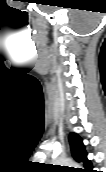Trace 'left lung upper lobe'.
Returning <instances> with one entry per match:
<instances>
[{"label": "left lung upper lobe", "instance_id": "left-lung-upper-lobe-1", "mask_svg": "<svg viewBox=\"0 0 106 172\" xmlns=\"http://www.w3.org/2000/svg\"><path fill=\"white\" fill-rule=\"evenodd\" d=\"M69 141L71 145V151L74 159L77 162H84V172H92V164L86 157L85 147L82 143V139L75 133L69 135Z\"/></svg>", "mask_w": 106, "mask_h": 172}]
</instances>
